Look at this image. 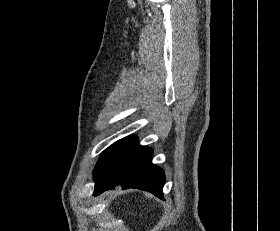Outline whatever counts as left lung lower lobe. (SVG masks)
<instances>
[{
  "mask_svg": "<svg viewBox=\"0 0 280 231\" xmlns=\"http://www.w3.org/2000/svg\"><path fill=\"white\" fill-rule=\"evenodd\" d=\"M152 150L138 144L135 136L125 137L109 146L94 169V196L121 186L138 188L164 199V172L151 163Z\"/></svg>",
  "mask_w": 280,
  "mask_h": 231,
  "instance_id": "0a47b994",
  "label": "left lung lower lobe"
}]
</instances>
